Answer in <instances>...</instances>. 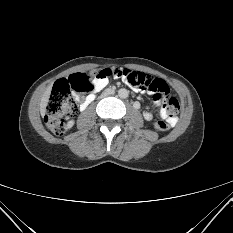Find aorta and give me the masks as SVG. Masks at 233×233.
Returning <instances> with one entry per match:
<instances>
[{"instance_id":"aorta-1","label":"aorta","mask_w":233,"mask_h":233,"mask_svg":"<svg viewBox=\"0 0 233 233\" xmlns=\"http://www.w3.org/2000/svg\"><path fill=\"white\" fill-rule=\"evenodd\" d=\"M129 91L125 88H122L118 91V95L120 98L125 99L128 97Z\"/></svg>"}]
</instances>
